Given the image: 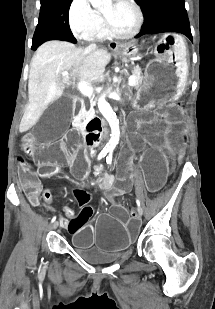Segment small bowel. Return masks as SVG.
Returning <instances> with one entry per match:
<instances>
[{"instance_id":"1","label":"small bowel","mask_w":215,"mask_h":309,"mask_svg":"<svg viewBox=\"0 0 215 309\" xmlns=\"http://www.w3.org/2000/svg\"><path fill=\"white\" fill-rule=\"evenodd\" d=\"M29 192H28V197L30 199V201L33 204H38V196H39V190H40V183L37 182L36 180L29 184ZM127 185H122L120 187H115L114 188V192L117 196H121L126 190H127ZM77 193L76 192V197H77ZM78 199V198H77ZM79 201V200H78ZM68 210V208H64V212L66 213V211Z\"/></svg>"}]
</instances>
